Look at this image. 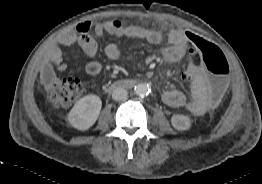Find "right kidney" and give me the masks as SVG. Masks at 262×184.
Masks as SVG:
<instances>
[{
	"mask_svg": "<svg viewBox=\"0 0 262 184\" xmlns=\"http://www.w3.org/2000/svg\"><path fill=\"white\" fill-rule=\"evenodd\" d=\"M101 107L100 97L87 95L75 103L68 114V120L74 128L87 130L96 122Z\"/></svg>",
	"mask_w": 262,
	"mask_h": 184,
	"instance_id": "ca27d5eb",
	"label": "right kidney"
}]
</instances>
